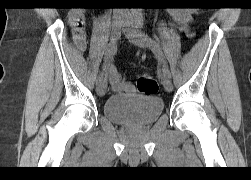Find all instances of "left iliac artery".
Returning <instances> with one entry per match:
<instances>
[{
	"label": "left iliac artery",
	"mask_w": 251,
	"mask_h": 180,
	"mask_svg": "<svg viewBox=\"0 0 251 180\" xmlns=\"http://www.w3.org/2000/svg\"><path fill=\"white\" fill-rule=\"evenodd\" d=\"M136 23L139 28H142L143 18L141 15L136 16ZM146 37H147V40L149 43V47L151 48L153 53L158 57V59L162 61L163 60V52H162V49H161L159 42H157L156 40L152 39L151 37H149L147 35H146ZM162 71H163L164 75L171 78L170 71L168 70V68L165 65H163Z\"/></svg>",
	"instance_id": "1"
}]
</instances>
